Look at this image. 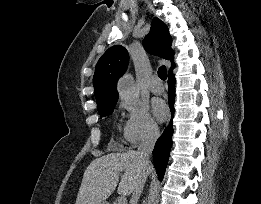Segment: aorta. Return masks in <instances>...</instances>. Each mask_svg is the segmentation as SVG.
<instances>
[{
	"instance_id": "762f6f07",
	"label": "aorta",
	"mask_w": 261,
	"mask_h": 204,
	"mask_svg": "<svg viewBox=\"0 0 261 204\" xmlns=\"http://www.w3.org/2000/svg\"><path fill=\"white\" fill-rule=\"evenodd\" d=\"M118 91L120 96L126 100L136 101L139 98V89L130 74H126L120 79Z\"/></svg>"
}]
</instances>
